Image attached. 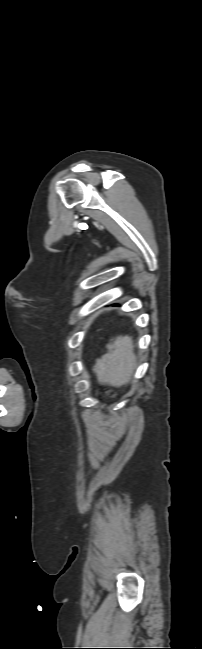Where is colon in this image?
Returning a JSON list of instances; mask_svg holds the SVG:
<instances>
[{"label": "colon", "instance_id": "1", "mask_svg": "<svg viewBox=\"0 0 202 649\" xmlns=\"http://www.w3.org/2000/svg\"><path fill=\"white\" fill-rule=\"evenodd\" d=\"M107 396H108V398H113V397H114V393H113L112 391H108V392H107Z\"/></svg>", "mask_w": 202, "mask_h": 649}]
</instances>
